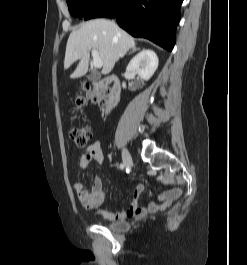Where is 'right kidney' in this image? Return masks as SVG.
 <instances>
[{"label": "right kidney", "instance_id": "right-kidney-1", "mask_svg": "<svg viewBox=\"0 0 247 265\" xmlns=\"http://www.w3.org/2000/svg\"><path fill=\"white\" fill-rule=\"evenodd\" d=\"M158 57L153 50L144 49L136 56H134L127 68V72L137 74L141 79L149 80L158 68ZM122 87L125 88L126 84L123 82Z\"/></svg>", "mask_w": 247, "mask_h": 265}]
</instances>
